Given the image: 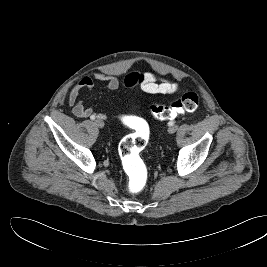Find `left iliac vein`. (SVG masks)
<instances>
[{
  "label": "left iliac vein",
  "instance_id": "left-iliac-vein-1",
  "mask_svg": "<svg viewBox=\"0 0 267 267\" xmlns=\"http://www.w3.org/2000/svg\"><path fill=\"white\" fill-rule=\"evenodd\" d=\"M177 129H178V126H176V125H172V126H169V128H168V132H169L170 134H173V133H175V132L177 131Z\"/></svg>",
  "mask_w": 267,
  "mask_h": 267
}]
</instances>
